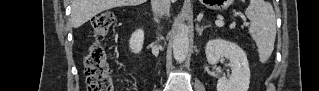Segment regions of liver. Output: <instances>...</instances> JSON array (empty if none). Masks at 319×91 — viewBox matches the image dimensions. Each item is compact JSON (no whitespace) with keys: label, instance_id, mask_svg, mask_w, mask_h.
<instances>
[{"label":"liver","instance_id":"liver-1","mask_svg":"<svg viewBox=\"0 0 319 91\" xmlns=\"http://www.w3.org/2000/svg\"><path fill=\"white\" fill-rule=\"evenodd\" d=\"M174 2L175 0H171ZM146 0H72L71 22L78 28L99 13L120 6L140 5Z\"/></svg>","mask_w":319,"mask_h":91}]
</instances>
